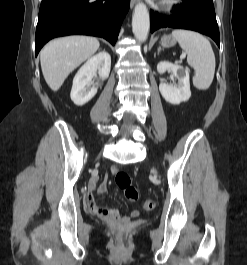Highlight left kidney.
Listing matches in <instances>:
<instances>
[{"mask_svg": "<svg viewBox=\"0 0 247 265\" xmlns=\"http://www.w3.org/2000/svg\"><path fill=\"white\" fill-rule=\"evenodd\" d=\"M167 70L172 71L173 75L178 79V86L173 87L164 82L160 83L159 90L162 97L174 105L187 101L191 97L189 70L169 62L158 63L157 71L159 74H163Z\"/></svg>", "mask_w": 247, "mask_h": 265, "instance_id": "5707ae66", "label": "left kidney"}]
</instances>
